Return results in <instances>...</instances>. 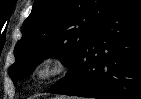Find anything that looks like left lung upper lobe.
<instances>
[{
	"instance_id": "5c2ea615",
	"label": "left lung upper lobe",
	"mask_w": 141,
	"mask_h": 99,
	"mask_svg": "<svg viewBox=\"0 0 141 99\" xmlns=\"http://www.w3.org/2000/svg\"><path fill=\"white\" fill-rule=\"evenodd\" d=\"M117 1L35 0L14 49L16 61L9 68L14 84L49 57L67 64L69 73L92 33Z\"/></svg>"
}]
</instances>
